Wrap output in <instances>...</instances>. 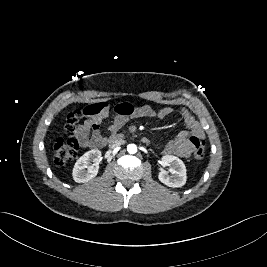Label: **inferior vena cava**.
Listing matches in <instances>:
<instances>
[{
	"label": "inferior vena cava",
	"mask_w": 267,
	"mask_h": 267,
	"mask_svg": "<svg viewBox=\"0 0 267 267\" xmlns=\"http://www.w3.org/2000/svg\"><path fill=\"white\" fill-rule=\"evenodd\" d=\"M124 143H125V140H123V139H121V138H119V139H115V140H113V141L110 142L109 147H110L111 149H115V148L120 147V146L123 145Z\"/></svg>",
	"instance_id": "602c4592"
}]
</instances>
